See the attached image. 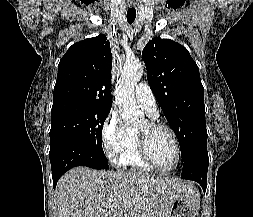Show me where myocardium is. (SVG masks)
<instances>
[{
	"label": "myocardium",
	"mask_w": 253,
	"mask_h": 217,
	"mask_svg": "<svg viewBox=\"0 0 253 217\" xmlns=\"http://www.w3.org/2000/svg\"><path fill=\"white\" fill-rule=\"evenodd\" d=\"M148 128L150 131H156V130H165L167 131L170 136L173 139L174 145H175V162L174 165L169 168V169H162L160 168L152 159L149 150H148V145H147V135L146 134H141L137 133V143H138V151L143 159V161L150 167L152 170L161 173V174H171L174 171L177 170L180 160H181V146H180V141L178 139V136L176 132L167 124L160 123V122H154L150 121L147 123Z\"/></svg>",
	"instance_id": "1"
}]
</instances>
